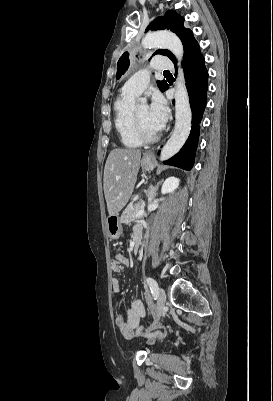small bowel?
I'll return each instance as SVG.
<instances>
[{"mask_svg":"<svg viewBox=\"0 0 273 401\" xmlns=\"http://www.w3.org/2000/svg\"><path fill=\"white\" fill-rule=\"evenodd\" d=\"M142 233V230L140 227H135L133 230V238L136 234ZM129 263L128 258L122 254V253H117L115 257L112 260V270L116 273H120L123 271L124 267ZM112 286L113 290L115 292L120 291V282L118 278L114 277L112 279ZM150 311L153 312L152 316L154 318H157L159 316V313L157 312V306L156 305H151L150 306ZM146 317V309L144 304L141 302V300L135 298L131 301L130 306L127 310V313L125 316L123 315H117L115 318V326L120 332V334L125 337V338H131L135 332L139 331L142 326V321ZM157 332H150V333H144L142 335V338L144 340H149L150 344L155 345L157 344L158 340L162 341L164 340L165 336L169 335L170 330L167 327H159L157 329ZM136 342H140V339H136Z\"/></svg>","mask_w":273,"mask_h":401,"instance_id":"small-bowel-1","label":"small bowel"}]
</instances>
